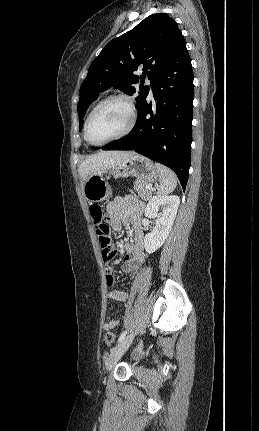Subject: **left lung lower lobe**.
I'll return each instance as SVG.
<instances>
[{
	"label": "left lung lower lobe",
	"mask_w": 259,
	"mask_h": 431,
	"mask_svg": "<svg viewBox=\"0 0 259 431\" xmlns=\"http://www.w3.org/2000/svg\"><path fill=\"white\" fill-rule=\"evenodd\" d=\"M193 79L183 40L154 78L155 109L145 99L132 131L102 149L134 150L164 164L177 174L185 190L191 159Z\"/></svg>",
	"instance_id": "0a47b994"
}]
</instances>
